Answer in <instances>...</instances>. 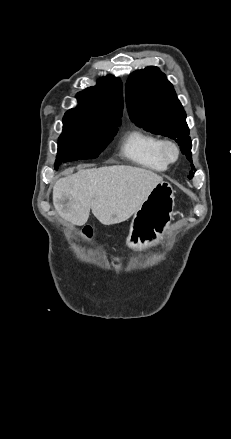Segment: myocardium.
<instances>
[{
  "label": "myocardium",
  "mask_w": 231,
  "mask_h": 439,
  "mask_svg": "<svg viewBox=\"0 0 231 439\" xmlns=\"http://www.w3.org/2000/svg\"><path fill=\"white\" fill-rule=\"evenodd\" d=\"M161 155L168 164L176 163L181 155L179 145L171 139H164L161 143Z\"/></svg>",
  "instance_id": "1"
}]
</instances>
